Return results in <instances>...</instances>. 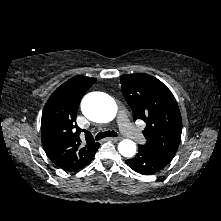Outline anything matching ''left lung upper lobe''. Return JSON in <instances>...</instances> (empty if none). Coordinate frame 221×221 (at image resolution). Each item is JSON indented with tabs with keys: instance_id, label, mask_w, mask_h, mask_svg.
Returning <instances> with one entry per match:
<instances>
[{
	"instance_id": "5c2ea615",
	"label": "left lung upper lobe",
	"mask_w": 221,
	"mask_h": 221,
	"mask_svg": "<svg viewBox=\"0 0 221 221\" xmlns=\"http://www.w3.org/2000/svg\"><path fill=\"white\" fill-rule=\"evenodd\" d=\"M120 81L134 121L141 119L147 123L143 131L147 141L142 147L172 159L182 132L181 115L173 94L160 80L145 73L122 75Z\"/></svg>"
}]
</instances>
